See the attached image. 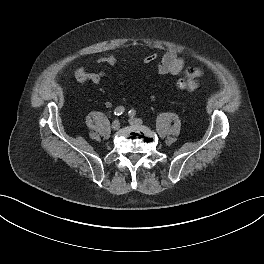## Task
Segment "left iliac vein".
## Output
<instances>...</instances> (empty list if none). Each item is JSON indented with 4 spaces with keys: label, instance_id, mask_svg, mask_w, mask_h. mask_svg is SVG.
<instances>
[{
    "label": "left iliac vein",
    "instance_id": "4c4485c4",
    "mask_svg": "<svg viewBox=\"0 0 264 264\" xmlns=\"http://www.w3.org/2000/svg\"><path fill=\"white\" fill-rule=\"evenodd\" d=\"M129 123L131 124V125H135V126H138V125H142V120L141 119H139V118H133V117H131L130 119H129Z\"/></svg>",
    "mask_w": 264,
    "mask_h": 264
}]
</instances>
